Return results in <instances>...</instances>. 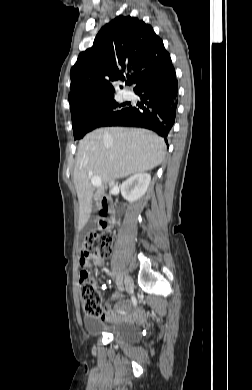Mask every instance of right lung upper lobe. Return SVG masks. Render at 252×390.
<instances>
[{
    "mask_svg": "<svg viewBox=\"0 0 252 390\" xmlns=\"http://www.w3.org/2000/svg\"><path fill=\"white\" fill-rule=\"evenodd\" d=\"M173 70L153 28L138 18L120 15L100 30L92 47L81 52L71 68L70 109L113 96V83L124 80L125 71L131 73L137 90L147 80Z\"/></svg>",
    "mask_w": 252,
    "mask_h": 390,
    "instance_id": "1",
    "label": "right lung upper lobe"
}]
</instances>
